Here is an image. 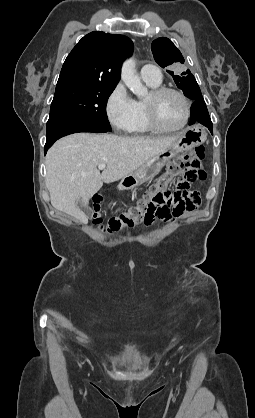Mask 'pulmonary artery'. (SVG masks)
I'll return each instance as SVG.
<instances>
[{"label": "pulmonary artery", "instance_id": "obj_1", "mask_svg": "<svg viewBox=\"0 0 255 418\" xmlns=\"http://www.w3.org/2000/svg\"><path fill=\"white\" fill-rule=\"evenodd\" d=\"M140 74L145 82L159 83L162 80L159 68L154 65H144L141 68Z\"/></svg>", "mask_w": 255, "mask_h": 418}]
</instances>
